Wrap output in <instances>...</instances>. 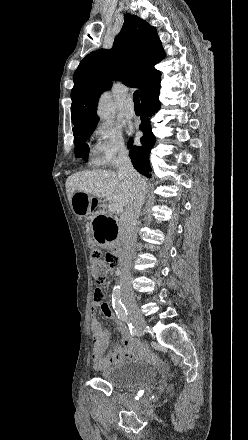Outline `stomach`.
<instances>
[{
    "label": "stomach",
    "mask_w": 248,
    "mask_h": 440,
    "mask_svg": "<svg viewBox=\"0 0 248 440\" xmlns=\"http://www.w3.org/2000/svg\"><path fill=\"white\" fill-rule=\"evenodd\" d=\"M73 212L80 218H91L93 223L88 224V231L94 232L93 239L96 246H115L118 241L120 224L117 218H112V209H91L97 205V199L84 192H75L70 200Z\"/></svg>",
    "instance_id": "stomach-1"
}]
</instances>
